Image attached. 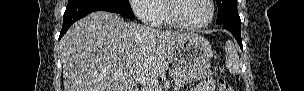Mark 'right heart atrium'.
I'll use <instances>...</instances> for the list:
<instances>
[{"mask_svg":"<svg viewBox=\"0 0 304 91\" xmlns=\"http://www.w3.org/2000/svg\"><path fill=\"white\" fill-rule=\"evenodd\" d=\"M157 3V0H131L130 5L133 12L142 22L157 25L160 21L156 9Z\"/></svg>","mask_w":304,"mask_h":91,"instance_id":"d8ad5b80","label":"right heart atrium"}]
</instances>
